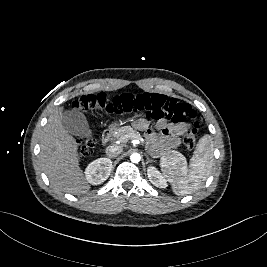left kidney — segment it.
Segmentation results:
<instances>
[{
  "label": "left kidney",
  "mask_w": 267,
  "mask_h": 267,
  "mask_svg": "<svg viewBox=\"0 0 267 267\" xmlns=\"http://www.w3.org/2000/svg\"><path fill=\"white\" fill-rule=\"evenodd\" d=\"M165 160V159H164ZM147 175L150 182L159 188H166L168 186L167 180L163 174L154 166L147 168Z\"/></svg>",
  "instance_id": "5707ae66"
}]
</instances>
